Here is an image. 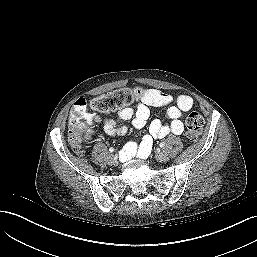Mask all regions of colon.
I'll return each mask as SVG.
<instances>
[{"label":"colon","mask_w":257,"mask_h":257,"mask_svg":"<svg viewBox=\"0 0 257 257\" xmlns=\"http://www.w3.org/2000/svg\"><path fill=\"white\" fill-rule=\"evenodd\" d=\"M144 91L141 88H124L100 95L90 102L86 99H78L69 118V141L73 148L81 151L82 143L89 139L87 127L89 121L86 116L88 105L99 112L107 113L129 106L142 98ZM204 120L198 112H191L186 118V138L195 142L203 129Z\"/></svg>","instance_id":"colon-1"}]
</instances>
